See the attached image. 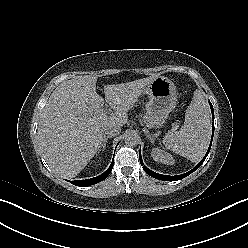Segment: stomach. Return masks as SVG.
Listing matches in <instances>:
<instances>
[{
  "label": "stomach",
  "instance_id": "stomach-1",
  "mask_svg": "<svg viewBox=\"0 0 248 248\" xmlns=\"http://www.w3.org/2000/svg\"><path fill=\"white\" fill-rule=\"evenodd\" d=\"M143 93L149 98L146 104L147 125L150 128H159L176 107V87L167 77L157 76L144 88Z\"/></svg>",
  "mask_w": 248,
  "mask_h": 248
}]
</instances>
